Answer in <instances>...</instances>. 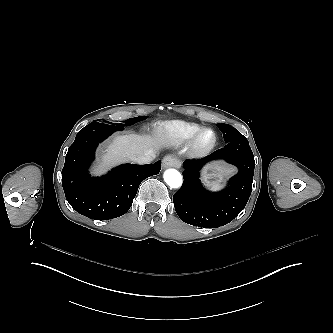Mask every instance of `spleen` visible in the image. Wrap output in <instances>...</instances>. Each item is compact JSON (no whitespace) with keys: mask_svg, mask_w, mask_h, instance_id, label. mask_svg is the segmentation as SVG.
Returning <instances> with one entry per match:
<instances>
[{"mask_svg":"<svg viewBox=\"0 0 333 333\" xmlns=\"http://www.w3.org/2000/svg\"><path fill=\"white\" fill-rule=\"evenodd\" d=\"M221 182H222V180H219V181H216V182L210 184V186H209L210 190H212V191L221 190L224 187V184Z\"/></svg>","mask_w":333,"mask_h":333,"instance_id":"1","label":"spleen"}]
</instances>
